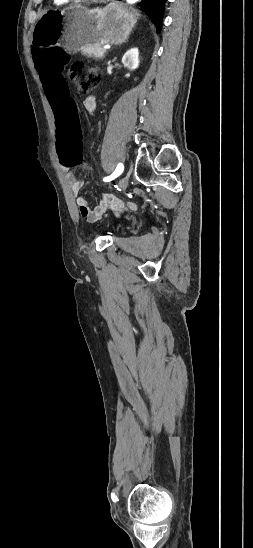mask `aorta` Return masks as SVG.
Instances as JSON below:
<instances>
[{"label": "aorta", "mask_w": 253, "mask_h": 548, "mask_svg": "<svg viewBox=\"0 0 253 548\" xmlns=\"http://www.w3.org/2000/svg\"><path fill=\"white\" fill-rule=\"evenodd\" d=\"M140 1H141V0H126V2H127L128 4H130V5H134V4H136V3L140 2Z\"/></svg>", "instance_id": "aorta-1"}]
</instances>
